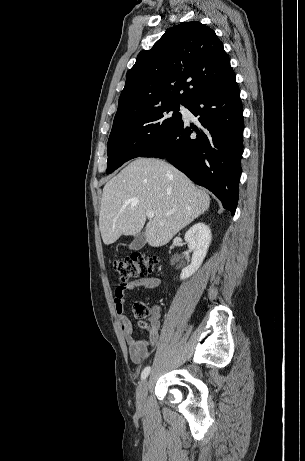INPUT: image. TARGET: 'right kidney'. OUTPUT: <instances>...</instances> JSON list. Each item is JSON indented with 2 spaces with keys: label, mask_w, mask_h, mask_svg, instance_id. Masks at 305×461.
Returning <instances> with one entry per match:
<instances>
[{
  "label": "right kidney",
  "mask_w": 305,
  "mask_h": 461,
  "mask_svg": "<svg viewBox=\"0 0 305 461\" xmlns=\"http://www.w3.org/2000/svg\"><path fill=\"white\" fill-rule=\"evenodd\" d=\"M184 239L193 255L190 265L185 267L180 274L181 280L189 278L200 268L211 243V230L209 226L200 222L186 232Z\"/></svg>",
  "instance_id": "right-kidney-1"
}]
</instances>
